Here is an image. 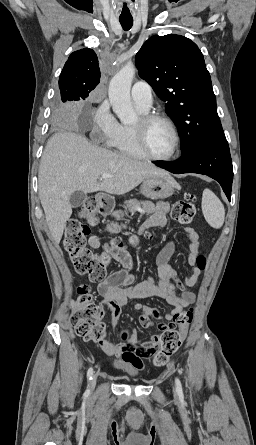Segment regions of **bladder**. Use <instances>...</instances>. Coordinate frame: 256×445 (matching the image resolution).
Masks as SVG:
<instances>
[{"label":"bladder","instance_id":"obj_1","mask_svg":"<svg viewBox=\"0 0 256 445\" xmlns=\"http://www.w3.org/2000/svg\"><path fill=\"white\" fill-rule=\"evenodd\" d=\"M134 376H135V374H132V373L130 374V377H134Z\"/></svg>","mask_w":256,"mask_h":445}]
</instances>
